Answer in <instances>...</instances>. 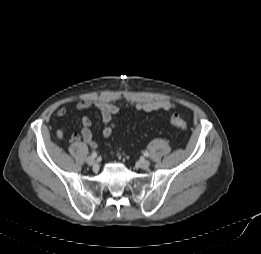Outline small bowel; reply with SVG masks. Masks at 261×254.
I'll return each mask as SVG.
<instances>
[{
  "mask_svg": "<svg viewBox=\"0 0 261 254\" xmlns=\"http://www.w3.org/2000/svg\"><path fill=\"white\" fill-rule=\"evenodd\" d=\"M96 107L103 119L104 127L102 130L105 138H111L115 134V123L114 118L119 112L117 105L105 101H91L87 99L80 100L76 103V109L78 111H84L91 107ZM177 104L171 100H157V101H144L137 103L133 107V111L136 113L140 112H155V111H168L176 108ZM67 114V107L61 106L56 111V115L60 118L65 117ZM82 129L79 134L74 133L69 137V140L73 143L82 140L84 143L89 145L91 148H97V143L93 138V134L90 130L92 121L89 116L85 115L81 119ZM66 132L64 129L57 131V136L60 138L65 137Z\"/></svg>",
  "mask_w": 261,
  "mask_h": 254,
  "instance_id": "c3829d8e",
  "label": "small bowel"
}]
</instances>
